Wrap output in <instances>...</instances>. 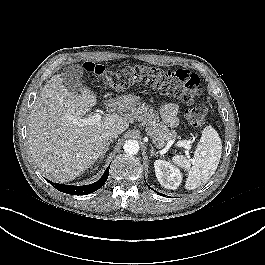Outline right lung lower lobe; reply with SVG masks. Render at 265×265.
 <instances>
[{
	"label": "right lung lower lobe",
	"instance_id": "1",
	"mask_svg": "<svg viewBox=\"0 0 265 265\" xmlns=\"http://www.w3.org/2000/svg\"><path fill=\"white\" fill-rule=\"evenodd\" d=\"M109 168L106 169L103 176L95 183L90 185H83V186H71V185H63V184H54L51 181L47 180L50 184H53V186L64 193L72 194V195H87L89 193H92L99 188H101L104 183L106 182L108 176H109Z\"/></svg>",
	"mask_w": 265,
	"mask_h": 265
}]
</instances>
